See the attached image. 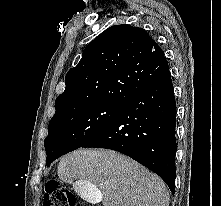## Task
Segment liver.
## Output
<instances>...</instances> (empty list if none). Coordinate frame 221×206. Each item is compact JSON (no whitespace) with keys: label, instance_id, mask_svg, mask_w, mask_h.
Here are the masks:
<instances>
[{"label":"liver","instance_id":"liver-1","mask_svg":"<svg viewBox=\"0 0 221 206\" xmlns=\"http://www.w3.org/2000/svg\"><path fill=\"white\" fill-rule=\"evenodd\" d=\"M58 176L79 194L83 188L89 192L100 190L104 206H169V192L163 180L115 151H73L60 160Z\"/></svg>","mask_w":221,"mask_h":206}]
</instances>
